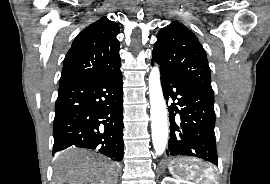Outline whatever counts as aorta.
<instances>
[{"instance_id":"1","label":"aorta","mask_w":270,"mask_h":184,"mask_svg":"<svg viewBox=\"0 0 270 184\" xmlns=\"http://www.w3.org/2000/svg\"><path fill=\"white\" fill-rule=\"evenodd\" d=\"M149 98L151 113L152 143L157 155H162L166 149L168 139L167 109L160 84L158 67H153L149 79Z\"/></svg>"}]
</instances>
